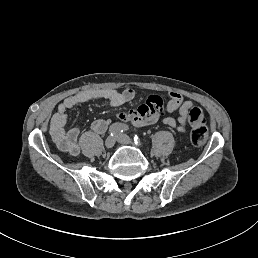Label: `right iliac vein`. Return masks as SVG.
<instances>
[{
	"label": "right iliac vein",
	"instance_id": "obj_1",
	"mask_svg": "<svg viewBox=\"0 0 258 258\" xmlns=\"http://www.w3.org/2000/svg\"><path fill=\"white\" fill-rule=\"evenodd\" d=\"M115 143H116L115 138L112 137V136H109V137L106 138V140L104 142V145H105L106 148L111 149V148L114 147Z\"/></svg>",
	"mask_w": 258,
	"mask_h": 258
}]
</instances>
